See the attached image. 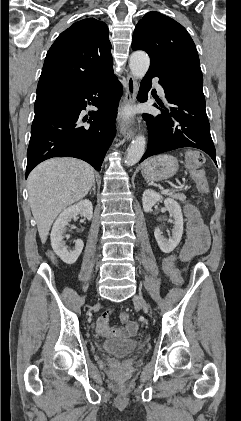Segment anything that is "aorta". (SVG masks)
Wrapping results in <instances>:
<instances>
[{
    "label": "aorta",
    "instance_id": "obj_1",
    "mask_svg": "<svg viewBox=\"0 0 241 421\" xmlns=\"http://www.w3.org/2000/svg\"><path fill=\"white\" fill-rule=\"evenodd\" d=\"M150 65V59L144 51H135L130 56L129 67L131 73L136 78H143ZM146 139L144 136H137L127 150L126 164L133 166L140 161L145 152Z\"/></svg>",
    "mask_w": 241,
    "mask_h": 421
}]
</instances>
